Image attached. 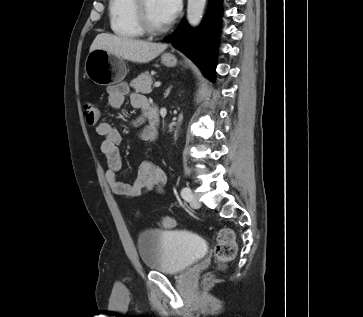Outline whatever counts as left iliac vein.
Returning a JSON list of instances; mask_svg holds the SVG:
<instances>
[{
  "label": "left iliac vein",
  "instance_id": "obj_1",
  "mask_svg": "<svg viewBox=\"0 0 363 317\" xmlns=\"http://www.w3.org/2000/svg\"><path fill=\"white\" fill-rule=\"evenodd\" d=\"M189 203L192 208L196 209L199 208L201 205L198 198L193 193H191V198L189 200Z\"/></svg>",
  "mask_w": 363,
  "mask_h": 317
}]
</instances>
